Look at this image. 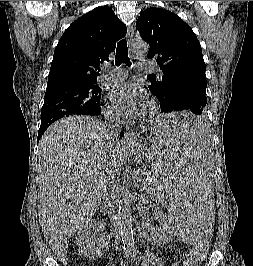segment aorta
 <instances>
[{"instance_id":"762f6f07","label":"aorta","mask_w":253,"mask_h":266,"mask_svg":"<svg viewBox=\"0 0 253 266\" xmlns=\"http://www.w3.org/2000/svg\"><path fill=\"white\" fill-rule=\"evenodd\" d=\"M132 47L133 52L137 55L143 56L148 53V46L144 41H137L132 45ZM118 214L122 241L125 245H130L134 243L132 233L131 201L130 191L125 187L120 190ZM152 242L155 243L154 241Z\"/></svg>"}]
</instances>
